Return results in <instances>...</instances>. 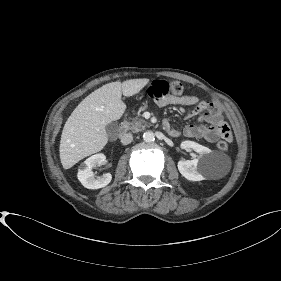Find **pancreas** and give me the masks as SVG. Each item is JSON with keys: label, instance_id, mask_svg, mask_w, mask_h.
<instances>
[{"label": "pancreas", "instance_id": "1", "mask_svg": "<svg viewBox=\"0 0 281 281\" xmlns=\"http://www.w3.org/2000/svg\"><path fill=\"white\" fill-rule=\"evenodd\" d=\"M125 124L132 132H139L148 127L147 122L140 117L131 118L130 121H127Z\"/></svg>", "mask_w": 281, "mask_h": 281}]
</instances>
